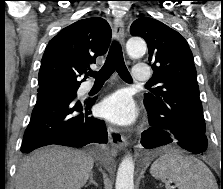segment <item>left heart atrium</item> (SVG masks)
<instances>
[{
  "instance_id": "obj_1",
  "label": "left heart atrium",
  "mask_w": 223,
  "mask_h": 189,
  "mask_svg": "<svg viewBox=\"0 0 223 189\" xmlns=\"http://www.w3.org/2000/svg\"><path fill=\"white\" fill-rule=\"evenodd\" d=\"M99 113L112 122L128 124L135 118V107L126 93L116 92L103 100Z\"/></svg>"
}]
</instances>
